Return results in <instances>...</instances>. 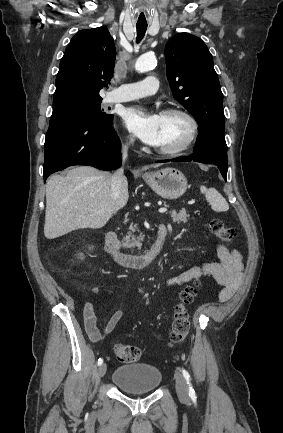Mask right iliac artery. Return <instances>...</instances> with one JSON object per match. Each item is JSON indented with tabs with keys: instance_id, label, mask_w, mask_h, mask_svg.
Masks as SVG:
<instances>
[{
	"instance_id": "right-iliac-artery-1",
	"label": "right iliac artery",
	"mask_w": 283,
	"mask_h": 433,
	"mask_svg": "<svg viewBox=\"0 0 283 433\" xmlns=\"http://www.w3.org/2000/svg\"><path fill=\"white\" fill-rule=\"evenodd\" d=\"M102 363H103V359H102V358H99V359H98V365L100 366Z\"/></svg>"
}]
</instances>
